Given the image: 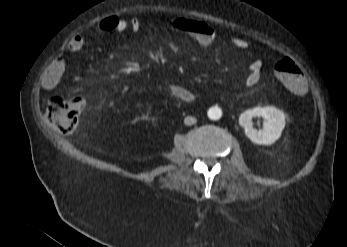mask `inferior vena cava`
Instances as JSON below:
<instances>
[{
    "mask_svg": "<svg viewBox=\"0 0 347 247\" xmlns=\"http://www.w3.org/2000/svg\"><path fill=\"white\" fill-rule=\"evenodd\" d=\"M197 122V119L195 117L187 116L184 119V123L188 126L193 125Z\"/></svg>",
    "mask_w": 347,
    "mask_h": 247,
    "instance_id": "obj_1",
    "label": "inferior vena cava"
}]
</instances>
